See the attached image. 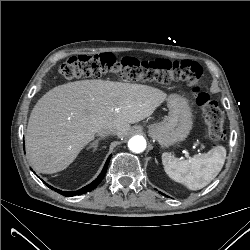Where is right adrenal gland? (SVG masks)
Instances as JSON below:
<instances>
[{
	"mask_svg": "<svg viewBox=\"0 0 250 250\" xmlns=\"http://www.w3.org/2000/svg\"><path fill=\"white\" fill-rule=\"evenodd\" d=\"M103 139H105V136H102V137H100V138H97L94 142H92V143L88 146V149L93 148V151L97 150V148H98V143H99L101 140H103Z\"/></svg>",
	"mask_w": 250,
	"mask_h": 250,
	"instance_id": "obj_1",
	"label": "right adrenal gland"
}]
</instances>
